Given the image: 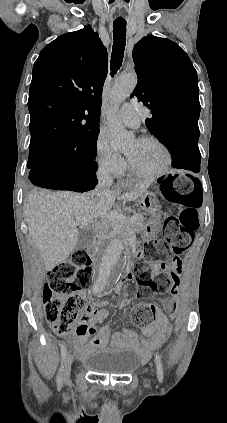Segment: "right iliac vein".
<instances>
[{
  "label": "right iliac vein",
  "instance_id": "63e3f726",
  "mask_svg": "<svg viewBox=\"0 0 227 423\" xmlns=\"http://www.w3.org/2000/svg\"><path fill=\"white\" fill-rule=\"evenodd\" d=\"M72 361H73V359H72L71 355L69 354L66 357V360H65L64 373H63L64 379L68 378V374L70 373V370H71Z\"/></svg>",
  "mask_w": 227,
  "mask_h": 423
}]
</instances>
